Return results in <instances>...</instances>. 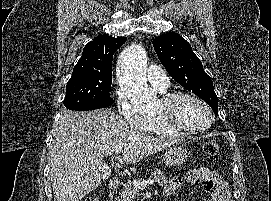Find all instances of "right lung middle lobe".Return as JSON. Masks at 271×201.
Masks as SVG:
<instances>
[{"instance_id":"right-lung-middle-lobe-1","label":"right lung middle lobe","mask_w":271,"mask_h":201,"mask_svg":"<svg viewBox=\"0 0 271 201\" xmlns=\"http://www.w3.org/2000/svg\"><path fill=\"white\" fill-rule=\"evenodd\" d=\"M111 84L112 74H72L66 86L64 106L78 111L108 107L114 102Z\"/></svg>"}]
</instances>
